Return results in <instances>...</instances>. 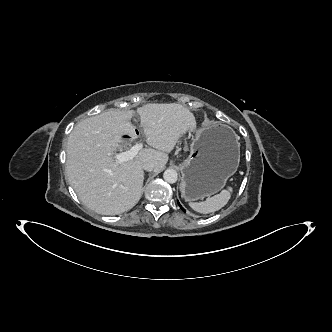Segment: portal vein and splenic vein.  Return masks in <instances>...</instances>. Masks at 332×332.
Segmentation results:
<instances>
[{
    "label": "portal vein and splenic vein",
    "instance_id": "1",
    "mask_svg": "<svg viewBox=\"0 0 332 332\" xmlns=\"http://www.w3.org/2000/svg\"><path fill=\"white\" fill-rule=\"evenodd\" d=\"M142 148H143V143L139 142V143H136L135 145H133L127 151L114 154L113 157L118 163L121 164L125 161L133 159Z\"/></svg>",
    "mask_w": 332,
    "mask_h": 332
}]
</instances>
